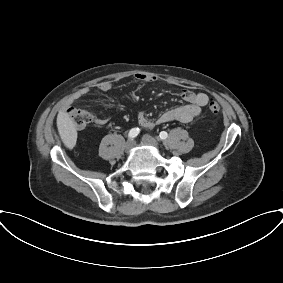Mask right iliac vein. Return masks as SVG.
Wrapping results in <instances>:
<instances>
[{
  "label": "right iliac vein",
  "instance_id": "obj_1",
  "mask_svg": "<svg viewBox=\"0 0 283 283\" xmlns=\"http://www.w3.org/2000/svg\"><path fill=\"white\" fill-rule=\"evenodd\" d=\"M133 144H134V141L133 140H128L126 145H125V151L128 153L130 152V150L132 149L133 147Z\"/></svg>",
  "mask_w": 283,
  "mask_h": 283
}]
</instances>
